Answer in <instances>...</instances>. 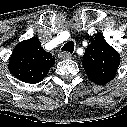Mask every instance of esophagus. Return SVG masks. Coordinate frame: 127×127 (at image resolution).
I'll use <instances>...</instances> for the list:
<instances>
[{
  "label": "esophagus",
  "instance_id": "34e87169",
  "mask_svg": "<svg viewBox=\"0 0 127 127\" xmlns=\"http://www.w3.org/2000/svg\"><path fill=\"white\" fill-rule=\"evenodd\" d=\"M58 57H59L60 59H62V60H64V59H69V58L72 57V54L69 53V52H60V53L58 54Z\"/></svg>",
  "mask_w": 127,
  "mask_h": 127
}]
</instances>
